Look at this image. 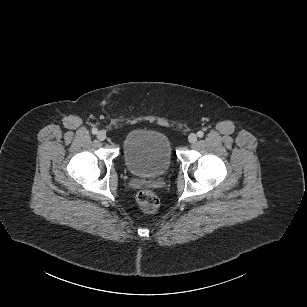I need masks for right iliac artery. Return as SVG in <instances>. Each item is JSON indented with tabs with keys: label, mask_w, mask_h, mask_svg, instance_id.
<instances>
[{
	"label": "right iliac artery",
	"mask_w": 307,
	"mask_h": 307,
	"mask_svg": "<svg viewBox=\"0 0 307 307\" xmlns=\"http://www.w3.org/2000/svg\"><path fill=\"white\" fill-rule=\"evenodd\" d=\"M92 133H93V134H97V133H98V129L93 128V129H92Z\"/></svg>",
	"instance_id": "right-iliac-artery-1"
}]
</instances>
